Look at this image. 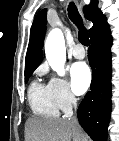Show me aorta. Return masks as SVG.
I'll use <instances>...</instances> for the list:
<instances>
[{
	"label": "aorta",
	"mask_w": 119,
	"mask_h": 141,
	"mask_svg": "<svg viewBox=\"0 0 119 141\" xmlns=\"http://www.w3.org/2000/svg\"><path fill=\"white\" fill-rule=\"evenodd\" d=\"M46 59L51 68L59 76L65 75L66 48L63 33L60 29H52L45 41Z\"/></svg>",
	"instance_id": "obj_1"
}]
</instances>
